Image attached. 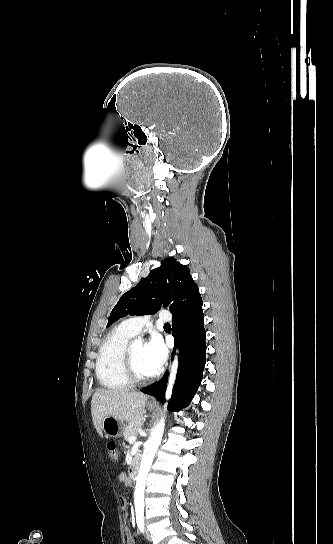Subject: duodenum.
Instances as JSON below:
<instances>
[{"label": "duodenum", "instance_id": "duodenum-1", "mask_svg": "<svg viewBox=\"0 0 333 544\" xmlns=\"http://www.w3.org/2000/svg\"><path fill=\"white\" fill-rule=\"evenodd\" d=\"M139 472V462L133 461L129 467V476L131 479H135Z\"/></svg>", "mask_w": 333, "mask_h": 544}]
</instances>
